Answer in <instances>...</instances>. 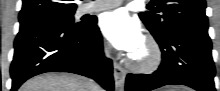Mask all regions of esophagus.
Wrapping results in <instances>:
<instances>
[{
	"label": "esophagus",
	"mask_w": 220,
	"mask_h": 91,
	"mask_svg": "<svg viewBox=\"0 0 220 91\" xmlns=\"http://www.w3.org/2000/svg\"><path fill=\"white\" fill-rule=\"evenodd\" d=\"M126 78V71L124 68L118 63L114 62V80L115 86L118 89L123 88Z\"/></svg>",
	"instance_id": "34e87169"
}]
</instances>
